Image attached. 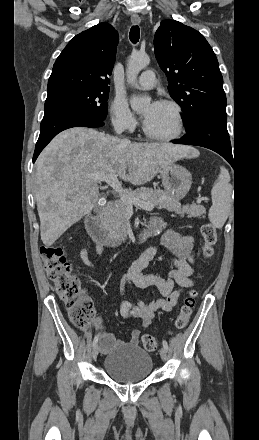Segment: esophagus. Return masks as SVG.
<instances>
[{"label":"esophagus","mask_w":259,"mask_h":440,"mask_svg":"<svg viewBox=\"0 0 259 440\" xmlns=\"http://www.w3.org/2000/svg\"><path fill=\"white\" fill-rule=\"evenodd\" d=\"M131 22H132L134 25L139 24V23L141 22V19H140L139 15H137V14H133V15L131 16Z\"/></svg>","instance_id":"esophagus-1"}]
</instances>
